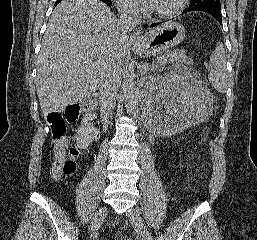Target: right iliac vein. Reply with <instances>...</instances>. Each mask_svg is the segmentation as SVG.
Returning a JSON list of instances; mask_svg holds the SVG:
<instances>
[{"instance_id": "right-iliac-vein-1", "label": "right iliac vein", "mask_w": 257, "mask_h": 240, "mask_svg": "<svg viewBox=\"0 0 257 240\" xmlns=\"http://www.w3.org/2000/svg\"><path fill=\"white\" fill-rule=\"evenodd\" d=\"M106 213H107V208L105 206L101 207L96 212V214L94 215V217L90 223L89 233L95 232L100 227V225L102 224V222L106 216Z\"/></svg>"}]
</instances>
